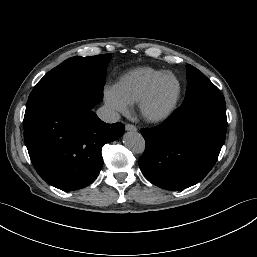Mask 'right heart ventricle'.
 <instances>
[{"label":"right heart ventricle","instance_id":"obj_1","mask_svg":"<svg viewBox=\"0 0 257 257\" xmlns=\"http://www.w3.org/2000/svg\"><path fill=\"white\" fill-rule=\"evenodd\" d=\"M165 72L151 67L132 69L119 77L114 89L128 104H139L152 82Z\"/></svg>","mask_w":257,"mask_h":257}]
</instances>
